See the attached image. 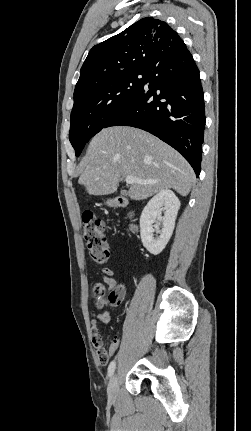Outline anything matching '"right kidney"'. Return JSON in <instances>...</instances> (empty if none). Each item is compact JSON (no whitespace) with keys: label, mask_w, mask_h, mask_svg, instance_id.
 <instances>
[{"label":"right kidney","mask_w":251,"mask_h":431,"mask_svg":"<svg viewBox=\"0 0 251 431\" xmlns=\"http://www.w3.org/2000/svg\"><path fill=\"white\" fill-rule=\"evenodd\" d=\"M180 208V201L173 191L163 189L158 192L145 206L140 216V235L143 246L153 255L160 254L169 242L175 220ZM164 211V216L162 212ZM163 228L160 231L159 225ZM156 223L155 225H153ZM160 233L154 238V232Z\"/></svg>","instance_id":"1"}]
</instances>
